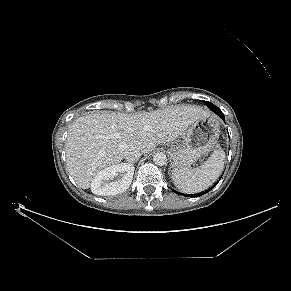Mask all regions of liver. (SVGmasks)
Masks as SVG:
<instances>
[{
	"instance_id": "1",
	"label": "liver",
	"mask_w": 291,
	"mask_h": 291,
	"mask_svg": "<svg viewBox=\"0 0 291 291\" xmlns=\"http://www.w3.org/2000/svg\"><path fill=\"white\" fill-rule=\"evenodd\" d=\"M207 116L209 110L193 105L135 115L103 112L81 116L68 130V171L80 188L88 189L101 171L121 162L126 148L136 146L143 154L150 153L158 144L175 141L195 121Z\"/></svg>"
}]
</instances>
